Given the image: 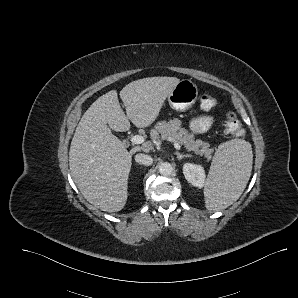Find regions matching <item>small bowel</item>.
<instances>
[{"mask_svg":"<svg viewBox=\"0 0 298 298\" xmlns=\"http://www.w3.org/2000/svg\"><path fill=\"white\" fill-rule=\"evenodd\" d=\"M213 123V116L203 115L194 118L190 123V128L195 133H204L211 128Z\"/></svg>","mask_w":298,"mask_h":298,"instance_id":"obj_1","label":"small bowel"}]
</instances>
